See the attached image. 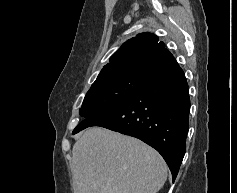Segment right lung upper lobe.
<instances>
[{"mask_svg": "<svg viewBox=\"0 0 237 193\" xmlns=\"http://www.w3.org/2000/svg\"><path fill=\"white\" fill-rule=\"evenodd\" d=\"M167 52L169 51L165 49L164 43L156 35L138 34L118 49L110 63L103 67L96 81L129 72H146L159 56Z\"/></svg>", "mask_w": 237, "mask_h": 193, "instance_id": "right-lung-upper-lobe-1", "label": "right lung upper lobe"}]
</instances>
